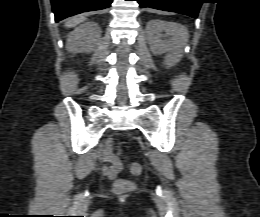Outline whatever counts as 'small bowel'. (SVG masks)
Masks as SVG:
<instances>
[{
  "label": "small bowel",
  "mask_w": 260,
  "mask_h": 217,
  "mask_svg": "<svg viewBox=\"0 0 260 217\" xmlns=\"http://www.w3.org/2000/svg\"><path fill=\"white\" fill-rule=\"evenodd\" d=\"M112 140L109 139L101 151V159L106 163L102 167L103 174L109 178H115L123 169L122 160L111 152Z\"/></svg>",
  "instance_id": "small-bowel-1"
}]
</instances>
